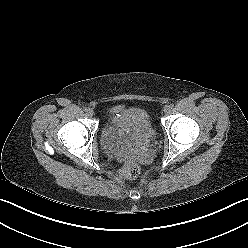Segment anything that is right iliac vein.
Segmentation results:
<instances>
[{
    "mask_svg": "<svg viewBox=\"0 0 248 248\" xmlns=\"http://www.w3.org/2000/svg\"><path fill=\"white\" fill-rule=\"evenodd\" d=\"M86 113H87L88 116H93V115H94L93 109H88V110L86 111Z\"/></svg>",
    "mask_w": 248,
    "mask_h": 248,
    "instance_id": "right-iliac-vein-1",
    "label": "right iliac vein"
}]
</instances>
